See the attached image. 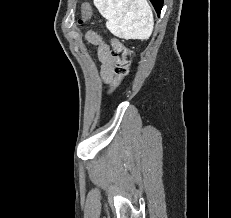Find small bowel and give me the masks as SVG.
<instances>
[{"label": "small bowel", "mask_w": 231, "mask_h": 218, "mask_svg": "<svg viewBox=\"0 0 231 218\" xmlns=\"http://www.w3.org/2000/svg\"><path fill=\"white\" fill-rule=\"evenodd\" d=\"M86 39L98 47V57L101 62V73L105 82L110 83L114 78L115 60L109 47L93 31L86 33Z\"/></svg>", "instance_id": "small-bowel-1"}]
</instances>
